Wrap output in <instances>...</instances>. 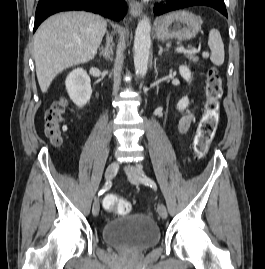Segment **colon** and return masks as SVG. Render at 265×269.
I'll return each instance as SVG.
<instances>
[{
    "instance_id": "colon-1",
    "label": "colon",
    "mask_w": 265,
    "mask_h": 269,
    "mask_svg": "<svg viewBox=\"0 0 265 269\" xmlns=\"http://www.w3.org/2000/svg\"><path fill=\"white\" fill-rule=\"evenodd\" d=\"M222 95V79L218 70L211 67L206 73L205 100L197 131L193 140L196 157H203L216 134L219 123V100ZM67 103L65 100L55 102L45 115V134L55 144L62 141L65 129ZM104 208L113 213L126 214L130 203L116 194L107 195L103 201Z\"/></svg>"
}]
</instances>
